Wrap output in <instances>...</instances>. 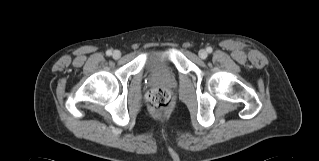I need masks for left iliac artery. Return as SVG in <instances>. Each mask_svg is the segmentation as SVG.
<instances>
[{"label": "left iliac artery", "instance_id": "1", "mask_svg": "<svg viewBox=\"0 0 319 161\" xmlns=\"http://www.w3.org/2000/svg\"><path fill=\"white\" fill-rule=\"evenodd\" d=\"M207 52H208V53H211V52H212V48H211V47H208V48H207Z\"/></svg>", "mask_w": 319, "mask_h": 161}]
</instances>
